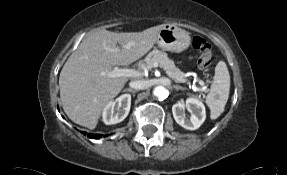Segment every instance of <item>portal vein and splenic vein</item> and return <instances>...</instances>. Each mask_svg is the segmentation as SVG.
Here are the masks:
<instances>
[{"label":"portal vein and splenic vein","instance_id":"obj_1","mask_svg":"<svg viewBox=\"0 0 287 175\" xmlns=\"http://www.w3.org/2000/svg\"><path fill=\"white\" fill-rule=\"evenodd\" d=\"M159 66L158 63H154L153 67L157 68ZM107 76L115 78V77H138L141 76V72L135 70V69H120L115 67L112 71L106 73ZM186 82V80H184ZM201 85L204 84L203 81H199ZM194 86V85H193ZM196 89V88H195ZM205 88H203L204 90Z\"/></svg>","mask_w":287,"mask_h":175}]
</instances>
